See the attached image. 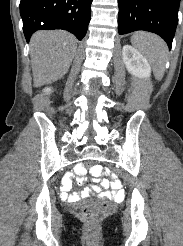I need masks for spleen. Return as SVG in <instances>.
<instances>
[{
	"label": "spleen",
	"instance_id": "obj_1",
	"mask_svg": "<svg viewBox=\"0 0 183 246\" xmlns=\"http://www.w3.org/2000/svg\"><path fill=\"white\" fill-rule=\"evenodd\" d=\"M131 43L145 55L153 67L156 79L161 80L168 59V47L165 41L153 33L136 32L131 37Z\"/></svg>",
	"mask_w": 183,
	"mask_h": 246
}]
</instances>
